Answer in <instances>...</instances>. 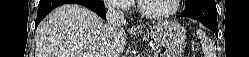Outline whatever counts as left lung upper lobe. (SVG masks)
Returning <instances> with one entry per match:
<instances>
[{
	"mask_svg": "<svg viewBox=\"0 0 249 57\" xmlns=\"http://www.w3.org/2000/svg\"><path fill=\"white\" fill-rule=\"evenodd\" d=\"M194 1H196V0H186V4H190V3L194 2Z\"/></svg>",
	"mask_w": 249,
	"mask_h": 57,
	"instance_id": "5c2ea615",
	"label": "left lung upper lobe"
}]
</instances>
